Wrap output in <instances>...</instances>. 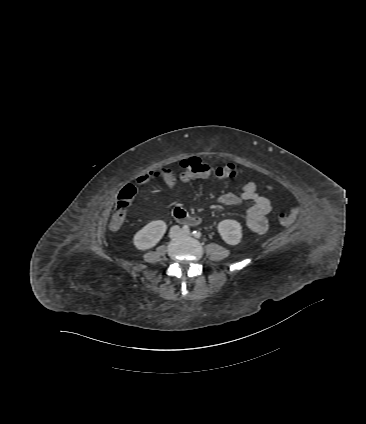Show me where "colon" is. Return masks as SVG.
Segmentation results:
<instances>
[{"instance_id": "obj_1", "label": "colon", "mask_w": 366, "mask_h": 424, "mask_svg": "<svg viewBox=\"0 0 366 424\" xmlns=\"http://www.w3.org/2000/svg\"><path fill=\"white\" fill-rule=\"evenodd\" d=\"M181 176L184 180L192 178H203L209 175L210 168L200 158L191 157L184 159L180 163ZM214 174L220 179L236 178L239 175V169L234 164H225L214 169ZM159 173L156 174V177ZM266 189L271 191L273 188L270 184H266ZM136 194L134 186L129 185L121 191L116 199L110 214L109 226L113 230L119 229L126 217L128 207ZM297 218V209L290 208L288 211H283L278 215L280 225L291 226Z\"/></svg>"}]
</instances>
